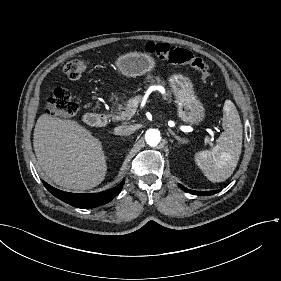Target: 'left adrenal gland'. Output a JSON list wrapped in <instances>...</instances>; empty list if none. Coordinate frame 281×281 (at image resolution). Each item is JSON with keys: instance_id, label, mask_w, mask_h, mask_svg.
Here are the masks:
<instances>
[{"instance_id": "1", "label": "left adrenal gland", "mask_w": 281, "mask_h": 281, "mask_svg": "<svg viewBox=\"0 0 281 281\" xmlns=\"http://www.w3.org/2000/svg\"><path fill=\"white\" fill-rule=\"evenodd\" d=\"M168 131L180 144L187 143V141H184L183 139L179 138L171 129H169Z\"/></svg>"}]
</instances>
